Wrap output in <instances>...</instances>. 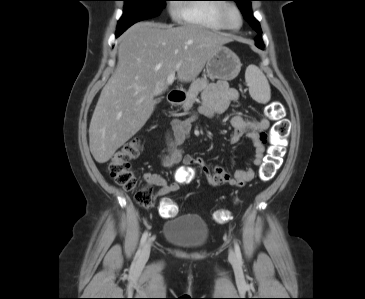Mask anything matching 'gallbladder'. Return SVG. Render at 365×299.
I'll return each instance as SVG.
<instances>
[{
  "label": "gallbladder",
  "mask_w": 365,
  "mask_h": 299,
  "mask_svg": "<svg viewBox=\"0 0 365 299\" xmlns=\"http://www.w3.org/2000/svg\"><path fill=\"white\" fill-rule=\"evenodd\" d=\"M161 101V98L156 99V103H159Z\"/></svg>",
  "instance_id": "gallbladder-1"
}]
</instances>
